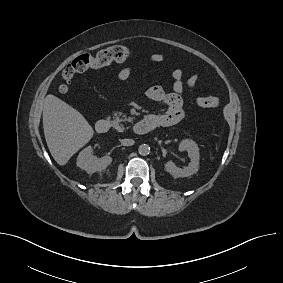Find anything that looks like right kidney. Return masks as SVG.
Returning a JSON list of instances; mask_svg holds the SVG:
<instances>
[{
    "mask_svg": "<svg viewBox=\"0 0 283 283\" xmlns=\"http://www.w3.org/2000/svg\"><path fill=\"white\" fill-rule=\"evenodd\" d=\"M91 153L92 147L88 146L79 153L77 158V166L89 174L106 169L112 162V158L109 156L97 158Z\"/></svg>",
    "mask_w": 283,
    "mask_h": 283,
    "instance_id": "1",
    "label": "right kidney"
}]
</instances>
